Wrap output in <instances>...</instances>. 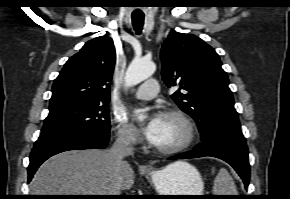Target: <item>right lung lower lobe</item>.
Instances as JSON below:
<instances>
[{"label":"right lung lower lobe","instance_id":"right-lung-lower-lobe-1","mask_svg":"<svg viewBox=\"0 0 290 199\" xmlns=\"http://www.w3.org/2000/svg\"><path fill=\"white\" fill-rule=\"evenodd\" d=\"M109 141V133L80 132L71 135L38 139L30 154L28 183L38 167L49 157L68 150L87 148L103 149Z\"/></svg>","mask_w":290,"mask_h":199}]
</instances>
